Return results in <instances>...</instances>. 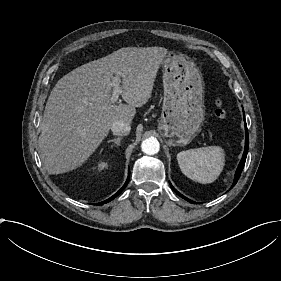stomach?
Returning a JSON list of instances; mask_svg holds the SVG:
<instances>
[{
  "instance_id": "1",
  "label": "stomach",
  "mask_w": 281,
  "mask_h": 281,
  "mask_svg": "<svg viewBox=\"0 0 281 281\" xmlns=\"http://www.w3.org/2000/svg\"><path fill=\"white\" fill-rule=\"evenodd\" d=\"M164 99L160 131L169 146L189 144L204 120V81L196 64L177 51L162 60Z\"/></svg>"
}]
</instances>
